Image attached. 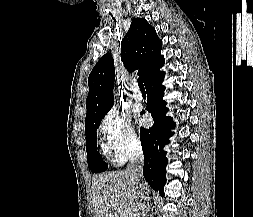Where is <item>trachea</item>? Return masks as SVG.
Here are the masks:
<instances>
[{
	"label": "trachea",
	"mask_w": 253,
	"mask_h": 217,
	"mask_svg": "<svg viewBox=\"0 0 253 217\" xmlns=\"http://www.w3.org/2000/svg\"><path fill=\"white\" fill-rule=\"evenodd\" d=\"M137 82H138V86H139L140 90L141 91L145 90L144 84L140 78H138Z\"/></svg>",
	"instance_id": "1"
}]
</instances>
